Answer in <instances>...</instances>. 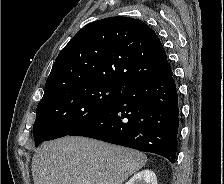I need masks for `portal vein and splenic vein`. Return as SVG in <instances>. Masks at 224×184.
<instances>
[{
	"label": "portal vein and splenic vein",
	"mask_w": 224,
	"mask_h": 184,
	"mask_svg": "<svg viewBox=\"0 0 224 184\" xmlns=\"http://www.w3.org/2000/svg\"><path fill=\"white\" fill-rule=\"evenodd\" d=\"M85 184H90L89 182H85Z\"/></svg>",
	"instance_id": "obj_1"
}]
</instances>
